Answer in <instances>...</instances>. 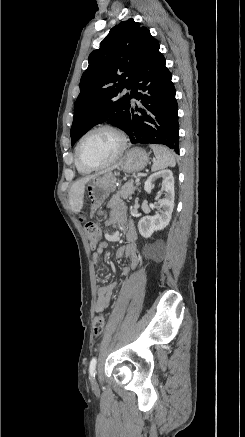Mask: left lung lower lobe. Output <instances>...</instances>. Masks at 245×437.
<instances>
[{
  "label": "left lung lower lobe",
  "mask_w": 245,
  "mask_h": 437,
  "mask_svg": "<svg viewBox=\"0 0 245 437\" xmlns=\"http://www.w3.org/2000/svg\"><path fill=\"white\" fill-rule=\"evenodd\" d=\"M171 77L158 45L151 50L131 88L130 98L140 100L144 110L130 107L125 132L131 143L162 144L179 154L178 106Z\"/></svg>",
  "instance_id": "0a47b994"
}]
</instances>
